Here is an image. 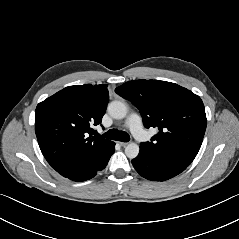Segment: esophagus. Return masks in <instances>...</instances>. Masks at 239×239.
I'll return each instance as SVG.
<instances>
[{
  "label": "esophagus",
  "instance_id": "esophagus-1",
  "mask_svg": "<svg viewBox=\"0 0 239 239\" xmlns=\"http://www.w3.org/2000/svg\"><path fill=\"white\" fill-rule=\"evenodd\" d=\"M118 144L124 147V146H126L128 143H127V142H118Z\"/></svg>",
  "mask_w": 239,
  "mask_h": 239
}]
</instances>
